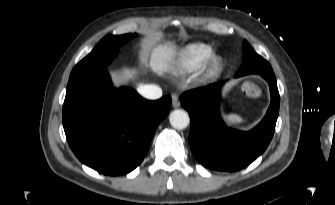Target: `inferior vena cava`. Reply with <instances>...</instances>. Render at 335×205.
I'll return each instance as SVG.
<instances>
[{
	"instance_id": "inferior-vena-cava-1",
	"label": "inferior vena cava",
	"mask_w": 335,
	"mask_h": 205,
	"mask_svg": "<svg viewBox=\"0 0 335 205\" xmlns=\"http://www.w3.org/2000/svg\"><path fill=\"white\" fill-rule=\"evenodd\" d=\"M137 91L141 96L150 100L159 99L162 96V89L157 85H140Z\"/></svg>"
}]
</instances>
